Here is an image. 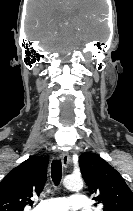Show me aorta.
Instances as JSON below:
<instances>
[{
	"mask_svg": "<svg viewBox=\"0 0 133 211\" xmlns=\"http://www.w3.org/2000/svg\"><path fill=\"white\" fill-rule=\"evenodd\" d=\"M63 185L70 191H80L83 188V180L80 176L69 175L64 178Z\"/></svg>",
	"mask_w": 133,
	"mask_h": 211,
	"instance_id": "aorta-1",
	"label": "aorta"
}]
</instances>
